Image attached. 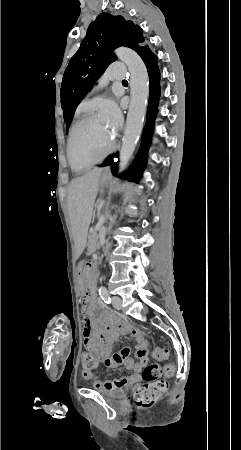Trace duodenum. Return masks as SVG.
Masks as SVG:
<instances>
[{
	"label": "duodenum",
	"mask_w": 241,
	"mask_h": 450,
	"mask_svg": "<svg viewBox=\"0 0 241 450\" xmlns=\"http://www.w3.org/2000/svg\"><path fill=\"white\" fill-rule=\"evenodd\" d=\"M87 271H88V290L90 293H92L95 291L97 280V266L94 261L91 260L87 263Z\"/></svg>",
	"instance_id": "obj_1"
}]
</instances>
